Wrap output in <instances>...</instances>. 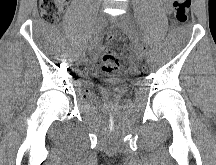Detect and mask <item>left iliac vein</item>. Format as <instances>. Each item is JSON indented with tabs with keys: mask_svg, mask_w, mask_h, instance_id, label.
<instances>
[{
	"mask_svg": "<svg viewBox=\"0 0 216 165\" xmlns=\"http://www.w3.org/2000/svg\"><path fill=\"white\" fill-rule=\"evenodd\" d=\"M114 21L132 41L137 59L143 60L145 56L144 48L130 17L124 14L116 17Z\"/></svg>",
	"mask_w": 216,
	"mask_h": 165,
	"instance_id": "1",
	"label": "left iliac vein"
}]
</instances>
